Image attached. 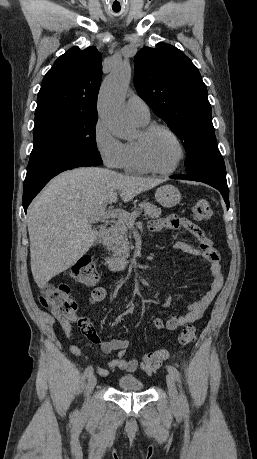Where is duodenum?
Returning <instances> with one entry per match:
<instances>
[{"label":"duodenum","instance_id":"410a0bca","mask_svg":"<svg viewBox=\"0 0 257 459\" xmlns=\"http://www.w3.org/2000/svg\"><path fill=\"white\" fill-rule=\"evenodd\" d=\"M108 228L103 227L99 230L97 244L99 245L102 239L107 235ZM105 264L112 270L126 269L129 265V254L123 253L120 255L105 257Z\"/></svg>","mask_w":257,"mask_h":459}]
</instances>
